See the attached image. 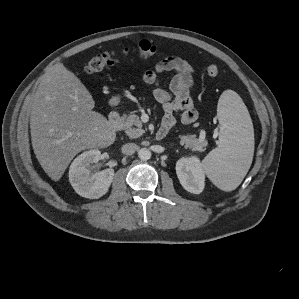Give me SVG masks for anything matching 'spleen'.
<instances>
[{"label":"spleen","instance_id":"obj_1","mask_svg":"<svg viewBox=\"0 0 299 299\" xmlns=\"http://www.w3.org/2000/svg\"><path fill=\"white\" fill-rule=\"evenodd\" d=\"M218 146L202 162L204 172L221 190H235L246 176L254 154V130L250 114L240 98L224 91L218 101Z\"/></svg>","mask_w":299,"mask_h":299}]
</instances>
